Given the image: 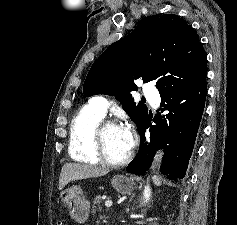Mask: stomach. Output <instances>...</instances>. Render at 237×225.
I'll list each match as a JSON object with an SVG mask.
<instances>
[{"mask_svg": "<svg viewBox=\"0 0 237 225\" xmlns=\"http://www.w3.org/2000/svg\"><path fill=\"white\" fill-rule=\"evenodd\" d=\"M113 188L120 194H129L134 190L135 181L124 175L111 179ZM60 200L68 208L70 216L76 221H85L89 216L90 203L83 195L80 186L74 185L60 193Z\"/></svg>", "mask_w": 237, "mask_h": 225, "instance_id": "obj_1", "label": "stomach"}]
</instances>
